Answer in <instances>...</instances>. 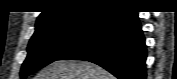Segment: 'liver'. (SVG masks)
I'll use <instances>...</instances> for the list:
<instances>
[{
    "label": "liver",
    "mask_w": 177,
    "mask_h": 79,
    "mask_svg": "<svg viewBox=\"0 0 177 79\" xmlns=\"http://www.w3.org/2000/svg\"><path fill=\"white\" fill-rule=\"evenodd\" d=\"M35 79H113V76L88 61L58 60L43 68Z\"/></svg>",
    "instance_id": "obj_1"
}]
</instances>
